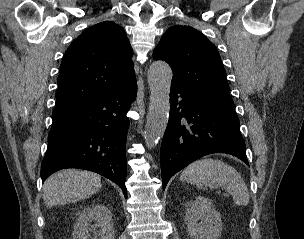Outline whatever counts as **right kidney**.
<instances>
[{
  "label": "right kidney",
  "instance_id": "right-kidney-1",
  "mask_svg": "<svg viewBox=\"0 0 304 239\" xmlns=\"http://www.w3.org/2000/svg\"><path fill=\"white\" fill-rule=\"evenodd\" d=\"M111 211L104 205L85 208L79 215L73 239H114Z\"/></svg>",
  "mask_w": 304,
  "mask_h": 239
}]
</instances>
